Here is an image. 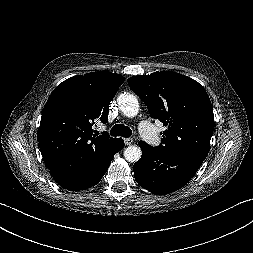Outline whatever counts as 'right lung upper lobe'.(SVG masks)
<instances>
[{
	"label": "right lung upper lobe",
	"mask_w": 253,
	"mask_h": 253,
	"mask_svg": "<svg viewBox=\"0 0 253 253\" xmlns=\"http://www.w3.org/2000/svg\"><path fill=\"white\" fill-rule=\"evenodd\" d=\"M123 82L120 74L98 71L71 77L54 89L37 133L48 169L90 159L117 140L93 134L92 126L108 122L110 102Z\"/></svg>",
	"instance_id": "1"
}]
</instances>
